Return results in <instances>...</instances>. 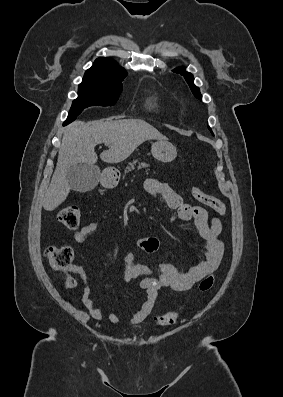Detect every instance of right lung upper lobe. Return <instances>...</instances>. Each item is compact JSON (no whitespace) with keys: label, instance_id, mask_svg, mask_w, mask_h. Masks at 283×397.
I'll list each match as a JSON object with an SVG mask.
<instances>
[{"label":"right lung upper lobe","instance_id":"1","mask_svg":"<svg viewBox=\"0 0 283 397\" xmlns=\"http://www.w3.org/2000/svg\"><path fill=\"white\" fill-rule=\"evenodd\" d=\"M127 76L124 68L120 67L114 61L100 57L97 58L93 66L85 72L86 80L97 81H123Z\"/></svg>","mask_w":283,"mask_h":397}]
</instances>
